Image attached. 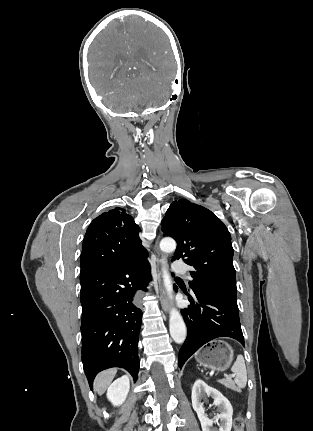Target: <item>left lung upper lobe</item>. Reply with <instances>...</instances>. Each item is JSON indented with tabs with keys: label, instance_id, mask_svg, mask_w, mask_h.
Returning a JSON list of instances; mask_svg holds the SVG:
<instances>
[{
	"label": "left lung upper lobe",
	"instance_id": "left-lung-upper-lobe-1",
	"mask_svg": "<svg viewBox=\"0 0 313 431\" xmlns=\"http://www.w3.org/2000/svg\"><path fill=\"white\" fill-rule=\"evenodd\" d=\"M161 230L177 242L172 260L183 258L195 271L190 274L192 291L217 292L237 298L231 236L224 223L210 210L185 199L167 210Z\"/></svg>",
	"mask_w": 313,
	"mask_h": 431
}]
</instances>
